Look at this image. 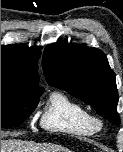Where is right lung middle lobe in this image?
<instances>
[{
  "mask_svg": "<svg viewBox=\"0 0 123 152\" xmlns=\"http://www.w3.org/2000/svg\"><path fill=\"white\" fill-rule=\"evenodd\" d=\"M43 91L22 88L11 79H1V127L20 124L29 117Z\"/></svg>",
  "mask_w": 123,
  "mask_h": 152,
  "instance_id": "1",
  "label": "right lung middle lobe"
}]
</instances>
